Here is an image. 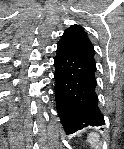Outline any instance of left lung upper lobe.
I'll list each match as a JSON object with an SVG mask.
<instances>
[{
	"label": "left lung upper lobe",
	"instance_id": "5c2ea615",
	"mask_svg": "<svg viewBox=\"0 0 124 149\" xmlns=\"http://www.w3.org/2000/svg\"><path fill=\"white\" fill-rule=\"evenodd\" d=\"M63 37H65L71 44L79 48L89 58L95 60V50L93 44L82 26L72 25L70 28L65 30Z\"/></svg>",
	"mask_w": 124,
	"mask_h": 149
}]
</instances>
